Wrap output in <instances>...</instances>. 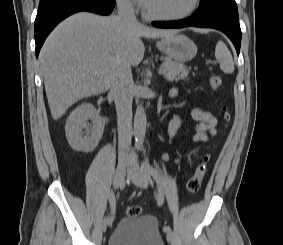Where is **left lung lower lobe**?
I'll return each mask as SVG.
<instances>
[{
  "instance_id": "left-lung-lower-lobe-1",
  "label": "left lung lower lobe",
  "mask_w": 283,
  "mask_h": 245,
  "mask_svg": "<svg viewBox=\"0 0 283 245\" xmlns=\"http://www.w3.org/2000/svg\"><path fill=\"white\" fill-rule=\"evenodd\" d=\"M155 27L159 28H183L188 26L214 28L225 33L233 42L237 54L240 51L241 44V29L239 24H233L231 22L214 19V18H199L194 15L187 19L169 22H153Z\"/></svg>"
}]
</instances>
